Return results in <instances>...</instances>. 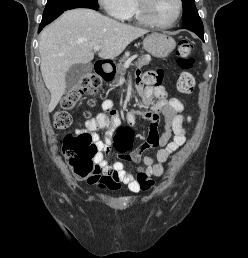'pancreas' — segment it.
Segmentation results:
<instances>
[{"instance_id":"pancreas-1","label":"pancreas","mask_w":248,"mask_h":258,"mask_svg":"<svg viewBox=\"0 0 248 258\" xmlns=\"http://www.w3.org/2000/svg\"><path fill=\"white\" fill-rule=\"evenodd\" d=\"M128 60V56L124 55L120 60L119 63L116 66V77L114 79V83L118 81L119 77L124 73L125 71V67L124 64L125 62ZM151 61L150 56H141L136 62H135V66L138 68H141L145 65H148Z\"/></svg>"}]
</instances>
